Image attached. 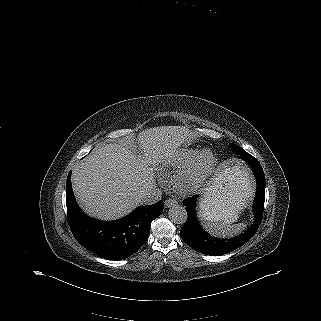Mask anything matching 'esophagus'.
<instances>
[{
  "label": "esophagus",
  "instance_id": "1",
  "mask_svg": "<svg viewBox=\"0 0 321 321\" xmlns=\"http://www.w3.org/2000/svg\"><path fill=\"white\" fill-rule=\"evenodd\" d=\"M177 203H178L177 200L174 199V198H168V199L165 200V206H166L167 208H169V207H171V206H174V205H176Z\"/></svg>",
  "mask_w": 321,
  "mask_h": 321
}]
</instances>
